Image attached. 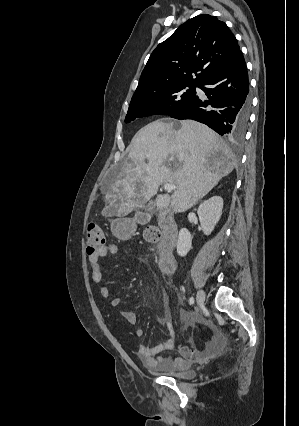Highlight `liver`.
<instances>
[{
    "instance_id": "6515ba94",
    "label": "liver",
    "mask_w": 299,
    "mask_h": 426,
    "mask_svg": "<svg viewBox=\"0 0 299 426\" xmlns=\"http://www.w3.org/2000/svg\"><path fill=\"white\" fill-rule=\"evenodd\" d=\"M227 144L212 129L192 120L153 121L131 141L128 161L103 189L104 215L126 216L157 194L162 183L177 188L156 197L158 210L185 212L235 167Z\"/></svg>"
}]
</instances>
